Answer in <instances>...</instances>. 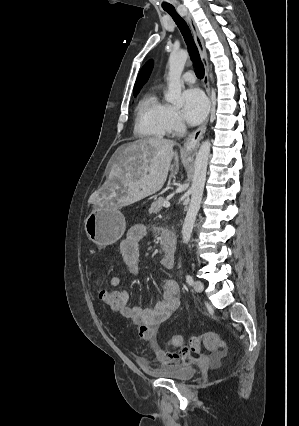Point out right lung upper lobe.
<instances>
[{
	"instance_id": "1",
	"label": "right lung upper lobe",
	"mask_w": 299,
	"mask_h": 426,
	"mask_svg": "<svg viewBox=\"0 0 299 426\" xmlns=\"http://www.w3.org/2000/svg\"><path fill=\"white\" fill-rule=\"evenodd\" d=\"M153 68V61L149 60L141 69L137 80L135 82V86H134V91L133 92H137L140 91V89L142 88V86L145 84V82L147 81L151 71Z\"/></svg>"
}]
</instances>
